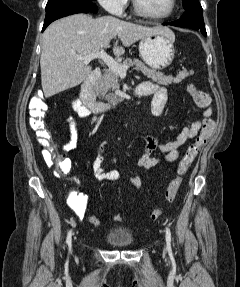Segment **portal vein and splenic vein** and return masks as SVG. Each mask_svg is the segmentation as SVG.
I'll return each mask as SVG.
<instances>
[{
	"label": "portal vein and splenic vein",
	"instance_id": "portal-vein-and-splenic-vein-1",
	"mask_svg": "<svg viewBox=\"0 0 240 287\" xmlns=\"http://www.w3.org/2000/svg\"><path fill=\"white\" fill-rule=\"evenodd\" d=\"M76 58L79 60H83L85 63H89L93 59H101L106 63V65L113 70L114 72H117L120 76H125L127 70L130 66L128 65H121L120 63L116 62L112 57H110L104 50H100L96 53H90L85 56L76 55Z\"/></svg>",
	"mask_w": 240,
	"mask_h": 287
}]
</instances>
